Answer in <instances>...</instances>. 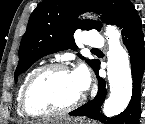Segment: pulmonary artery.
Instances as JSON below:
<instances>
[{"instance_id": "obj_1", "label": "pulmonary artery", "mask_w": 145, "mask_h": 124, "mask_svg": "<svg viewBox=\"0 0 145 124\" xmlns=\"http://www.w3.org/2000/svg\"><path fill=\"white\" fill-rule=\"evenodd\" d=\"M85 44L89 48H100L103 47L104 41L102 35L95 31V30H89L86 31V41Z\"/></svg>"}]
</instances>
